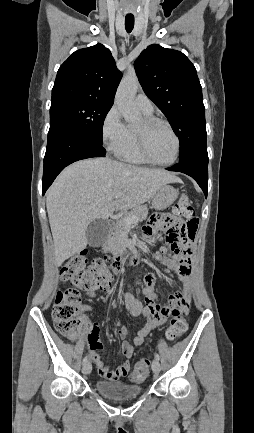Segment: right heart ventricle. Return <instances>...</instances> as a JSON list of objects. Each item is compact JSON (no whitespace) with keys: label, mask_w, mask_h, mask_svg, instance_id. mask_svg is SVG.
<instances>
[{"label":"right heart ventricle","mask_w":254,"mask_h":433,"mask_svg":"<svg viewBox=\"0 0 254 433\" xmlns=\"http://www.w3.org/2000/svg\"><path fill=\"white\" fill-rule=\"evenodd\" d=\"M147 117H151V114H145ZM119 158L123 161L132 164H146L147 161L142 157L139 152L135 130L129 129V136L124 144L123 148L118 154Z\"/></svg>","instance_id":"right-heart-ventricle-1"}]
</instances>
